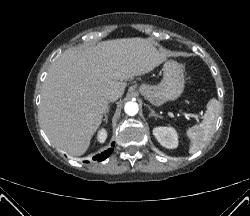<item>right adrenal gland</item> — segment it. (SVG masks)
Segmentation results:
<instances>
[{
  "mask_svg": "<svg viewBox=\"0 0 250 216\" xmlns=\"http://www.w3.org/2000/svg\"><path fill=\"white\" fill-rule=\"evenodd\" d=\"M108 113H109V107H107L106 111H105V114H104V118L103 120L107 123L108 121Z\"/></svg>",
  "mask_w": 250,
  "mask_h": 216,
  "instance_id": "obj_1",
  "label": "right adrenal gland"
}]
</instances>
